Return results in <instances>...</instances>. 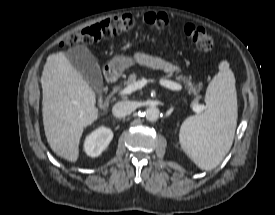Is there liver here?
<instances>
[{"label": "liver", "instance_id": "1", "mask_svg": "<svg viewBox=\"0 0 275 215\" xmlns=\"http://www.w3.org/2000/svg\"><path fill=\"white\" fill-rule=\"evenodd\" d=\"M41 85L48 144L57 156L76 162L84 128L99 117L95 92L64 52L48 56Z\"/></svg>", "mask_w": 275, "mask_h": 215}]
</instances>
